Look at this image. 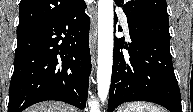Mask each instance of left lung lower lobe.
<instances>
[{"label":"left lung lower lobe","mask_w":193,"mask_h":112,"mask_svg":"<svg viewBox=\"0 0 193 112\" xmlns=\"http://www.w3.org/2000/svg\"><path fill=\"white\" fill-rule=\"evenodd\" d=\"M128 27L129 45L115 38L108 112L130 101H149L182 112L169 49L168 16L128 20Z\"/></svg>","instance_id":"1"}]
</instances>
